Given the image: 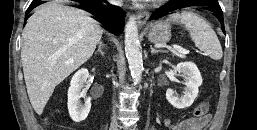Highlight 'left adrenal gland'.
<instances>
[{"mask_svg": "<svg viewBox=\"0 0 257 130\" xmlns=\"http://www.w3.org/2000/svg\"><path fill=\"white\" fill-rule=\"evenodd\" d=\"M150 49H151V54H157V53H162V52H166L164 50H157L155 48H153V46H150Z\"/></svg>", "mask_w": 257, "mask_h": 130, "instance_id": "obj_1", "label": "left adrenal gland"}]
</instances>
